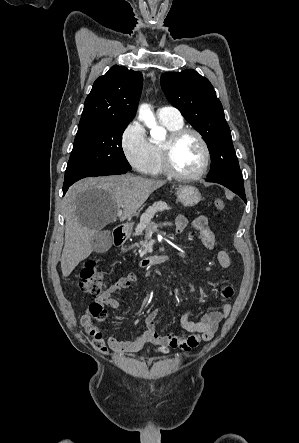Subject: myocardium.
<instances>
[{"label": "myocardium", "mask_w": 299, "mask_h": 443, "mask_svg": "<svg viewBox=\"0 0 299 443\" xmlns=\"http://www.w3.org/2000/svg\"><path fill=\"white\" fill-rule=\"evenodd\" d=\"M192 134L194 135L201 144L203 150V162L200 169L193 174H182L177 171L172 163V154L173 150L178 143V141L184 137L185 135ZM211 160V153L209 146L202 136V134L193 128L182 127L180 129L171 131L168 137L161 143V162L164 169V172L167 173L174 179L181 181H191L197 180L204 176L207 172L209 164Z\"/></svg>", "instance_id": "obj_1"}]
</instances>
